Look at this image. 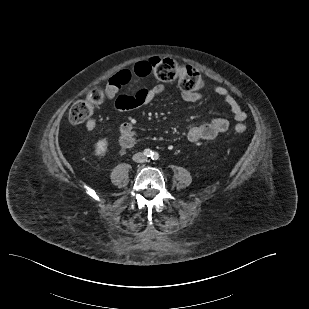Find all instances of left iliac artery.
<instances>
[{
	"label": "left iliac artery",
	"mask_w": 309,
	"mask_h": 309,
	"mask_svg": "<svg viewBox=\"0 0 309 309\" xmlns=\"http://www.w3.org/2000/svg\"><path fill=\"white\" fill-rule=\"evenodd\" d=\"M151 157H152L153 160H158L159 159V154L157 152H154Z\"/></svg>",
	"instance_id": "left-iliac-artery-1"
}]
</instances>
